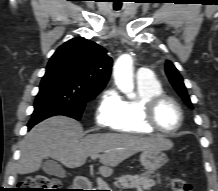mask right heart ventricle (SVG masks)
I'll return each mask as SVG.
<instances>
[{
	"label": "right heart ventricle",
	"mask_w": 218,
	"mask_h": 191,
	"mask_svg": "<svg viewBox=\"0 0 218 191\" xmlns=\"http://www.w3.org/2000/svg\"><path fill=\"white\" fill-rule=\"evenodd\" d=\"M137 97L134 99H122L119 113L112 124V128L118 132L135 135H147L154 132L143 120L144 101L156 94L163 93L159 81H137Z\"/></svg>",
	"instance_id": "right-heart-ventricle-1"
}]
</instances>
